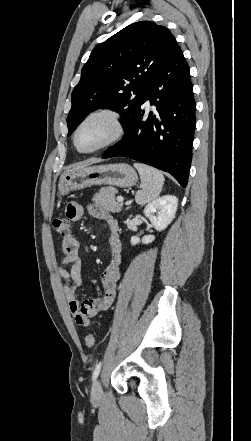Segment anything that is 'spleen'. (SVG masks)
<instances>
[{
	"mask_svg": "<svg viewBox=\"0 0 251 441\" xmlns=\"http://www.w3.org/2000/svg\"><path fill=\"white\" fill-rule=\"evenodd\" d=\"M141 179V189L135 195L139 205H145L156 199L163 188L165 178L159 170L142 163H134Z\"/></svg>",
	"mask_w": 251,
	"mask_h": 441,
	"instance_id": "obj_1",
	"label": "spleen"
}]
</instances>
